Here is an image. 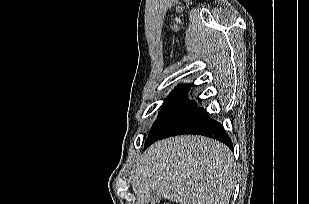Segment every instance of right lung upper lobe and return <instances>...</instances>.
Here are the masks:
<instances>
[{
	"label": "right lung upper lobe",
	"instance_id": "right-lung-upper-lobe-1",
	"mask_svg": "<svg viewBox=\"0 0 309 204\" xmlns=\"http://www.w3.org/2000/svg\"><path fill=\"white\" fill-rule=\"evenodd\" d=\"M188 92V85L178 86L172 93L165 99L164 103H178V104H194L186 97Z\"/></svg>",
	"mask_w": 309,
	"mask_h": 204
}]
</instances>
